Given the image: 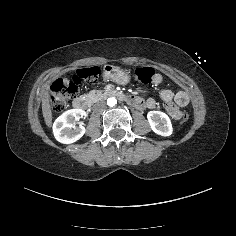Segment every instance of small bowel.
Here are the masks:
<instances>
[{
	"label": "small bowel",
	"instance_id": "1",
	"mask_svg": "<svg viewBox=\"0 0 236 236\" xmlns=\"http://www.w3.org/2000/svg\"><path fill=\"white\" fill-rule=\"evenodd\" d=\"M161 81H162L161 75H160V74H156L155 77H154V79H153V82H154L155 84H159V83H161ZM170 95H171V94H170L169 91H167V90L164 91L163 96H164L165 99H168V98L170 97ZM187 103H188V97H187V95L184 94V93L178 94V96H177V104H178V106H185V105H187ZM147 104H148L149 107H152L153 104H154V100H153V99H149L148 102H147ZM170 111H171V113L173 114L174 118H176V119H179V118H180V116H181V111H180L179 107H177V106H172V107H170Z\"/></svg>",
	"mask_w": 236,
	"mask_h": 236
}]
</instances>
